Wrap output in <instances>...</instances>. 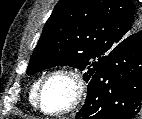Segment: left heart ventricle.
<instances>
[{
    "label": "left heart ventricle",
    "instance_id": "left-heart-ventricle-1",
    "mask_svg": "<svg viewBox=\"0 0 142 119\" xmlns=\"http://www.w3.org/2000/svg\"><path fill=\"white\" fill-rule=\"evenodd\" d=\"M74 86L67 77L59 76L51 79L42 95V106L51 111L61 110L71 102Z\"/></svg>",
    "mask_w": 142,
    "mask_h": 119
}]
</instances>
